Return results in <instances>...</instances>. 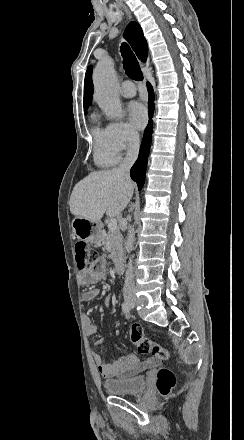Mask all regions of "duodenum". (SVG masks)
I'll return each mask as SVG.
<instances>
[{
    "label": "duodenum",
    "mask_w": 244,
    "mask_h": 440,
    "mask_svg": "<svg viewBox=\"0 0 244 440\" xmlns=\"http://www.w3.org/2000/svg\"><path fill=\"white\" fill-rule=\"evenodd\" d=\"M114 267L117 273L121 274L124 272V262L122 257H116L114 259Z\"/></svg>",
    "instance_id": "duodenum-1"
}]
</instances>
